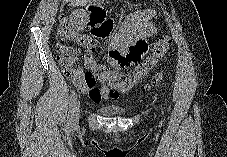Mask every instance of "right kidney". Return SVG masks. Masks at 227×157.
I'll return each instance as SVG.
<instances>
[{
  "instance_id": "obj_1",
  "label": "right kidney",
  "mask_w": 227,
  "mask_h": 157,
  "mask_svg": "<svg viewBox=\"0 0 227 157\" xmlns=\"http://www.w3.org/2000/svg\"><path fill=\"white\" fill-rule=\"evenodd\" d=\"M82 13H83L82 10H76L75 12H73V16H79Z\"/></svg>"
}]
</instances>
